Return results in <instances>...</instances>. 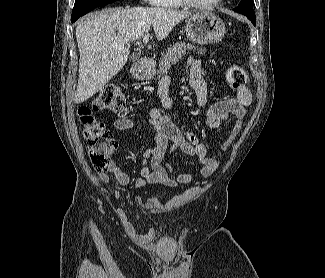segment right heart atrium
I'll list each match as a JSON object with an SVG mask.
<instances>
[{"label": "right heart atrium", "instance_id": "obj_1", "mask_svg": "<svg viewBox=\"0 0 325 278\" xmlns=\"http://www.w3.org/2000/svg\"><path fill=\"white\" fill-rule=\"evenodd\" d=\"M142 1L150 4H156L158 0H142Z\"/></svg>", "mask_w": 325, "mask_h": 278}]
</instances>
